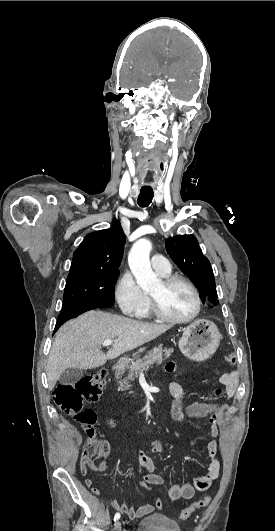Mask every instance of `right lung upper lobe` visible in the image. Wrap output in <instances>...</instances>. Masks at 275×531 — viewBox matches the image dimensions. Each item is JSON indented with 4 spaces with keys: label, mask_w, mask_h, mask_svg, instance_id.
I'll return each mask as SVG.
<instances>
[{
    "label": "right lung upper lobe",
    "mask_w": 275,
    "mask_h": 531,
    "mask_svg": "<svg viewBox=\"0 0 275 531\" xmlns=\"http://www.w3.org/2000/svg\"><path fill=\"white\" fill-rule=\"evenodd\" d=\"M126 237L120 223L87 234L73 254L69 274L89 271L119 272Z\"/></svg>",
    "instance_id": "1"
}]
</instances>
